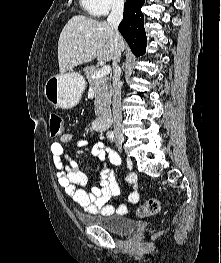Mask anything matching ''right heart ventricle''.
I'll return each instance as SVG.
<instances>
[{
    "label": "right heart ventricle",
    "instance_id": "right-heart-ventricle-1",
    "mask_svg": "<svg viewBox=\"0 0 221 263\" xmlns=\"http://www.w3.org/2000/svg\"><path fill=\"white\" fill-rule=\"evenodd\" d=\"M83 9L91 15H96L93 6V0H80Z\"/></svg>",
    "mask_w": 221,
    "mask_h": 263
}]
</instances>
